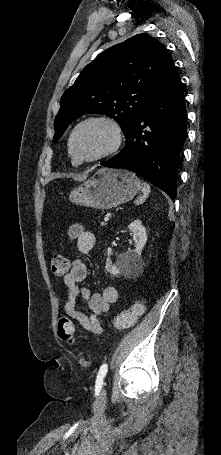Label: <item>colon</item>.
<instances>
[{"label": "colon", "mask_w": 221, "mask_h": 455, "mask_svg": "<svg viewBox=\"0 0 221 455\" xmlns=\"http://www.w3.org/2000/svg\"><path fill=\"white\" fill-rule=\"evenodd\" d=\"M51 270L57 276H65L69 273L71 268L70 261L61 255L52 257ZM145 312V303L142 300L134 302L129 308L123 310L112 320V326L116 329H129L135 326L137 320ZM58 335L59 338L69 344L77 342L75 329L72 321L67 317H60L58 321Z\"/></svg>", "instance_id": "obj_1"}]
</instances>
